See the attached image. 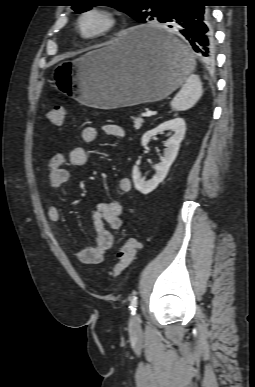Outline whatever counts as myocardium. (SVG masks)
I'll list each match as a JSON object with an SVG mask.
<instances>
[{
    "mask_svg": "<svg viewBox=\"0 0 255 387\" xmlns=\"http://www.w3.org/2000/svg\"><path fill=\"white\" fill-rule=\"evenodd\" d=\"M94 17L99 20V25L92 31L85 29V20ZM118 25V18L116 14L106 8L89 7L84 9L77 17L76 31L78 35L84 40H94L103 37L110 33Z\"/></svg>",
    "mask_w": 255,
    "mask_h": 387,
    "instance_id": "obj_1",
    "label": "myocardium"
}]
</instances>
